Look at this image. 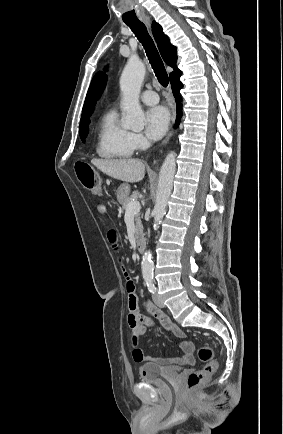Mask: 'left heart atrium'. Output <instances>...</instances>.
<instances>
[{"label":"left heart atrium","instance_id":"left-heart-atrium-1","mask_svg":"<svg viewBox=\"0 0 283 434\" xmlns=\"http://www.w3.org/2000/svg\"><path fill=\"white\" fill-rule=\"evenodd\" d=\"M170 122L169 111L163 106L150 108L146 113V132L151 139H160L167 131Z\"/></svg>","mask_w":283,"mask_h":434}]
</instances>
